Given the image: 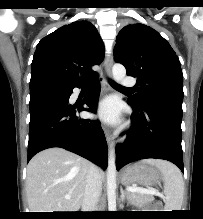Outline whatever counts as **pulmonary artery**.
<instances>
[{
	"mask_svg": "<svg viewBox=\"0 0 203 219\" xmlns=\"http://www.w3.org/2000/svg\"><path fill=\"white\" fill-rule=\"evenodd\" d=\"M122 84H123V86H125L127 88H133L136 86V80L132 77H125L122 80Z\"/></svg>",
	"mask_w": 203,
	"mask_h": 219,
	"instance_id": "pulmonary-artery-1",
	"label": "pulmonary artery"
}]
</instances>
